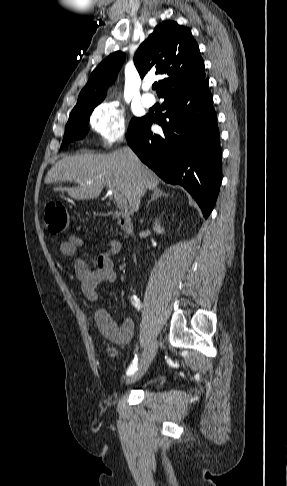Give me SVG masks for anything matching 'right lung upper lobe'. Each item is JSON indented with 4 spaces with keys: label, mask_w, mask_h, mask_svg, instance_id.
Returning <instances> with one entry per match:
<instances>
[{
    "label": "right lung upper lobe",
    "mask_w": 287,
    "mask_h": 486,
    "mask_svg": "<svg viewBox=\"0 0 287 486\" xmlns=\"http://www.w3.org/2000/svg\"><path fill=\"white\" fill-rule=\"evenodd\" d=\"M123 61L124 54L115 52L94 69L71 114L82 112L104 100L106 89L115 80ZM134 64L141 78L149 72L165 75L159 81V97L205 79L204 62L191 31L175 21L167 20L155 27L136 51Z\"/></svg>",
    "instance_id": "obj_1"
}]
</instances>
